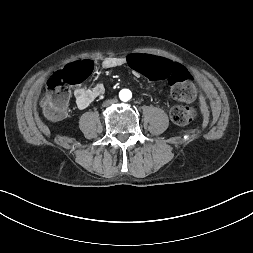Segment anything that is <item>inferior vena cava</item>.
Returning a JSON list of instances; mask_svg holds the SVG:
<instances>
[{
  "mask_svg": "<svg viewBox=\"0 0 253 253\" xmlns=\"http://www.w3.org/2000/svg\"><path fill=\"white\" fill-rule=\"evenodd\" d=\"M117 102H118L117 99L113 97V98H110L108 100L103 101L102 104H103V106L106 107V106H109V105H112V104L115 105V104H117Z\"/></svg>",
  "mask_w": 253,
  "mask_h": 253,
  "instance_id": "obj_1",
  "label": "inferior vena cava"
}]
</instances>
